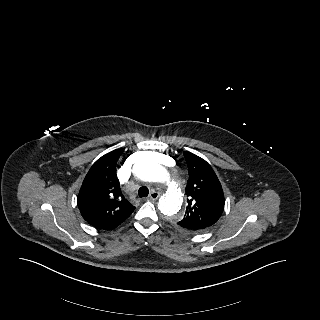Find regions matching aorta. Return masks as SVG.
Instances as JSON below:
<instances>
[{
    "label": "aorta",
    "mask_w": 320,
    "mask_h": 320,
    "mask_svg": "<svg viewBox=\"0 0 320 320\" xmlns=\"http://www.w3.org/2000/svg\"><path fill=\"white\" fill-rule=\"evenodd\" d=\"M160 154L157 152H146L145 156L133 166V175L146 182H167L168 191L160 199L158 208L168 219H180L179 212L182 205V195L175 184L170 181L168 171L158 162Z\"/></svg>",
    "instance_id": "762f6f07"
}]
</instances>
